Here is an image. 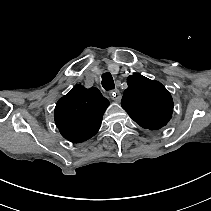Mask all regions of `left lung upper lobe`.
I'll return each instance as SVG.
<instances>
[{
  "label": "left lung upper lobe",
  "mask_w": 211,
  "mask_h": 211,
  "mask_svg": "<svg viewBox=\"0 0 211 211\" xmlns=\"http://www.w3.org/2000/svg\"><path fill=\"white\" fill-rule=\"evenodd\" d=\"M127 84L121 105L129 116L145 129L164 127L172 117L174 106L164 85L140 74L129 76Z\"/></svg>",
  "instance_id": "1"
}]
</instances>
